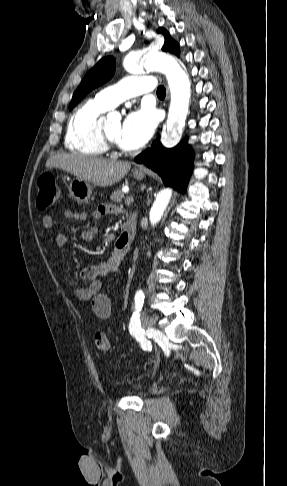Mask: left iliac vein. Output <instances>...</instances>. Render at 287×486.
<instances>
[{"mask_svg":"<svg viewBox=\"0 0 287 486\" xmlns=\"http://www.w3.org/2000/svg\"><path fill=\"white\" fill-rule=\"evenodd\" d=\"M141 320H142L143 327L147 330H151L155 337L160 339H165V335L160 330L154 329L156 320L153 316L148 315L145 312H142Z\"/></svg>","mask_w":287,"mask_h":486,"instance_id":"1","label":"left iliac vein"}]
</instances>
